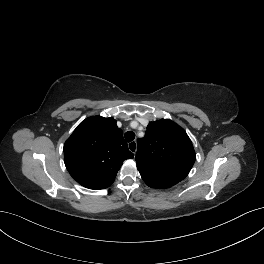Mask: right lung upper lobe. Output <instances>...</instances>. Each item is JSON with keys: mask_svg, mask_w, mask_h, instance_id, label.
Wrapping results in <instances>:
<instances>
[{"mask_svg": "<svg viewBox=\"0 0 264 264\" xmlns=\"http://www.w3.org/2000/svg\"><path fill=\"white\" fill-rule=\"evenodd\" d=\"M63 150L70 175L82 186L95 190L109 187L123 161L134 157L112 117L94 116L82 121Z\"/></svg>", "mask_w": 264, "mask_h": 264, "instance_id": "right-lung-upper-lobe-1", "label": "right lung upper lobe"}]
</instances>
